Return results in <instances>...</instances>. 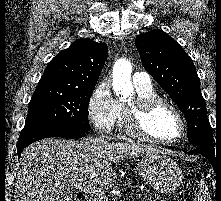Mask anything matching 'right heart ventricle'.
Wrapping results in <instances>:
<instances>
[{
  "mask_svg": "<svg viewBox=\"0 0 221 201\" xmlns=\"http://www.w3.org/2000/svg\"><path fill=\"white\" fill-rule=\"evenodd\" d=\"M137 97L139 98H147V97H153L157 96V93L152 85L142 87V86H135ZM120 113H119V125L120 127H123V106L119 104Z\"/></svg>",
  "mask_w": 221,
  "mask_h": 201,
  "instance_id": "obj_1",
  "label": "right heart ventricle"
}]
</instances>
